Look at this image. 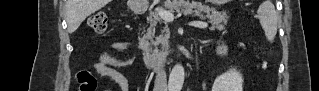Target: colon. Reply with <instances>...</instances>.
I'll list each match as a JSON object with an SVG mask.
<instances>
[{
	"label": "colon",
	"mask_w": 319,
	"mask_h": 91,
	"mask_svg": "<svg viewBox=\"0 0 319 91\" xmlns=\"http://www.w3.org/2000/svg\"><path fill=\"white\" fill-rule=\"evenodd\" d=\"M109 26V16L104 12H97L91 15L87 20V27L96 35L106 34ZM81 91L96 90V80L89 74L81 73L79 75Z\"/></svg>",
	"instance_id": "5ec220e1"
}]
</instances>
